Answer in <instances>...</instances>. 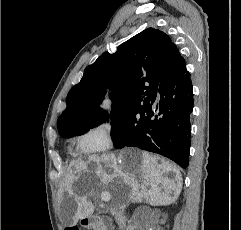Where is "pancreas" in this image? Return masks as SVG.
Masks as SVG:
<instances>
[{
  "label": "pancreas",
  "mask_w": 241,
  "mask_h": 230,
  "mask_svg": "<svg viewBox=\"0 0 241 230\" xmlns=\"http://www.w3.org/2000/svg\"><path fill=\"white\" fill-rule=\"evenodd\" d=\"M96 230H106L105 226L102 224H97Z\"/></svg>",
  "instance_id": "cf45deb5"
}]
</instances>
